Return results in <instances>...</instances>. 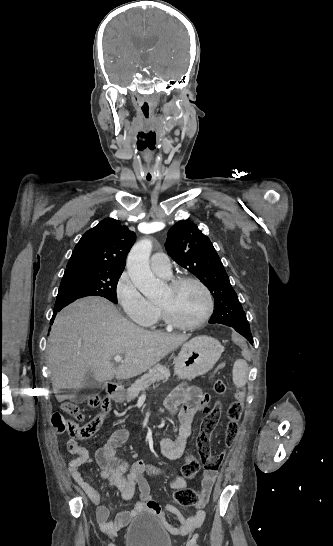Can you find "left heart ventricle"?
<instances>
[{
    "label": "left heart ventricle",
    "instance_id": "b2bd125f",
    "mask_svg": "<svg viewBox=\"0 0 333 546\" xmlns=\"http://www.w3.org/2000/svg\"><path fill=\"white\" fill-rule=\"evenodd\" d=\"M173 318L182 323L198 320L204 312L206 299L203 291L195 284L186 283L176 289L166 288L158 301Z\"/></svg>",
    "mask_w": 333,
    "mask_h": 546
}]
</instances>
